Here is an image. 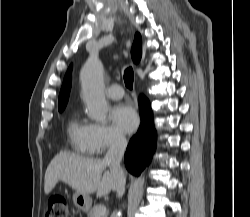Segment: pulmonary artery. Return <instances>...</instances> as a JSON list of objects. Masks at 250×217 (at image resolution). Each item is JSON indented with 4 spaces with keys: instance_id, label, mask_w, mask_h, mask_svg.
Returning a JSON list of instances; mask_svg holds the SVG:
<instances>
[{
    "instance_id": "obj_1",
    "label": "pulmonary artery",
    "mask_w": 250,
    "mask_h": 217,
    "mask_svg": "<svg viewBox=\"0 0 250 217\" xmlns=\"http://www.w3.org/2000/svg\"><path fill=\"white\" fill-rule=\"evenodd\" d=\"M106 95L110 99L118 100L124 95V91L119 84H112L106 89Z\"/></svg>"
}]
</instances>
